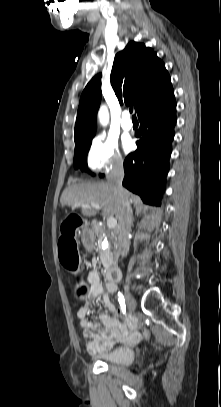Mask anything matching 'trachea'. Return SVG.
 <instances>
[{"label": "trachea", "instance_id": "1", "mask_svg": "<svg viewBox=\"0 0 221 407\" xmlns=\"http://www.w3.org/2000/svg\"><path fill=\"white\" fill-rule=\"evenodd\" d=\"M130 112H133V107H130ZM133 118H135V115H133Z\"/></svg>", "mask_w": 221, "mask_h": 407}]
</instances>
